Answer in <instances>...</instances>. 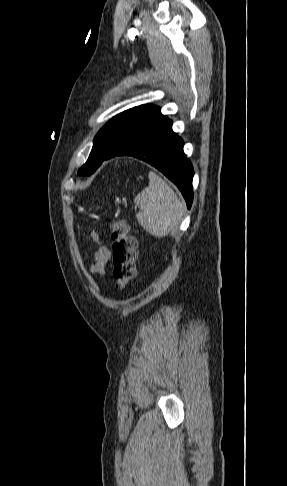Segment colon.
<instances>
[{
	"label": "colon",
	"instance_id": "colon-1",
	"mask_svg": "<svg viewBox=\"0 0 287 486\" xmlns=\"http://www.w3.org/2000/svg\"><path fill=\"white\" fill-rule=\"evenodd\" d=\"M113 255V280L117 287H125L135 276L137 241L129 233L128 225L123 221L110 224Z\"/></svg>",
	"mask_w": 287,
	"mask_h": 486
}]
</instances>
